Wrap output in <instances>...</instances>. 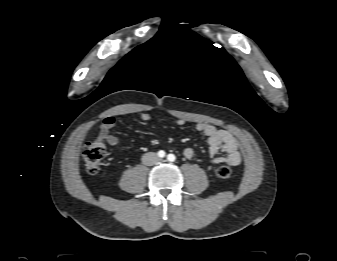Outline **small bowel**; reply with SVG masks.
Listing matches in <instances>:
<instances>
[{
    "instance_id": "obj_1",
    "label": "small bowel",
    "mask_w": 337,
    "mask_h": 261,
    "mask_svg": "<svg viewBox=\"0 0 337 261\" xmlns=\"http://www.w3.org/2000/svg\"><path fill=\"white\" fill-rule=\"evenodd\" d=\"M139 117L144 122L151 120V116L148 113H141ZM115 122L113 116H107L103 119L99 129L100 138L105 140L111 146H116L119 143V139L111 133V129L114 127ZM184 123L185 122L182 119L177 121L179 126L184 125ZM195 128L207 138L209 155L212 158L213 164L227 163L230 166H237L240 164L241 154L238 149V143L229 131L203 122L197 123ZM194 153L195 152L191 147H186L183 150L184 156L188 159L193 158ZM219 153H224L225 156H219Z\"/></svg>"
}]
</instances>
